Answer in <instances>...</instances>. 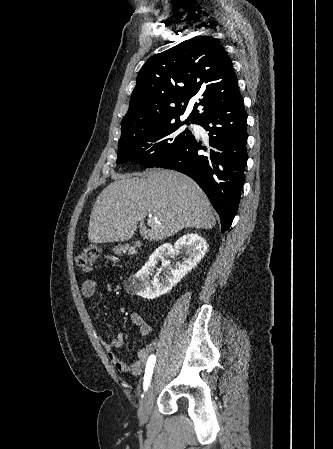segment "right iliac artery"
I'll list each match as a JSON object with an SVG mask.
<instances>
[{
  "label": "right iliac artery",
  "mask_w": 333,
  "mask_h": 449,
  "mask_svg": "<svg viewBox=\"0 0 333 449\" xmlns=\"http://www.w3.org/2000/svg\"><path fill=\"white\" fill-rule=\"evenodd\" d=\"M156 362V356L153 354L149 357L147 364H146V369H145V375H144V391L147 390L149 384H150V380L152 377V373H153V368H154V364Z\"/></svg>",
  "instance_id": "82829eb1"
}]
</instances>
